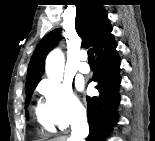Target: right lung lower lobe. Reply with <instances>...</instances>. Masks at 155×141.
I'll list each match as a JSON object with an SVG mask.
<instances>
[{"instance_id": "1", "label": "right lung lower lobe", "mask_w": 155, "mask_h": 141, "mask_svg": "<svg viewBox=\"0 0 155 141\" xmlns=\"http://www.w3.org/2000/svg\"><path fill=\"white\" fill-rule=\"evenodd\" d=\"M116 47L117 43L110 32L94 48L98 69L92 80L98 83L95 88L99 95L87 97L90 132L87 140L106 135L118 119L116 106L120 101L118 88L121 78L120 58Z\"/></svg>"}]
</instances>
